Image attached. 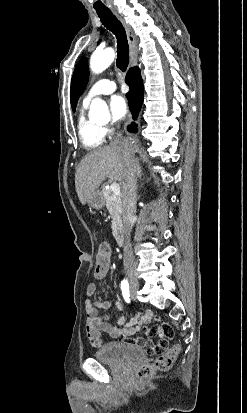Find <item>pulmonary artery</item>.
<instances>
[{"instance_id": "1", "label": "pulmonary artery", "mask_w": 247, "mask_h": 413, "mask_svg": "<svg viewBox=\"0 0 247 413\" xmlns=\"http://www.w3.org/2000/svg\"><path fill=\"white\" fill-rule=\"evenodd\" d=\"M116 89L114 80L108 78H100L95 81L89 88L84 101L88 103L93 97L103 94H110Z\"/></svg>"}]
</instances>
